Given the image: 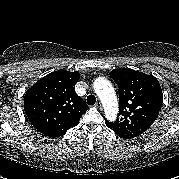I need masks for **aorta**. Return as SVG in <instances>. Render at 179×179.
<instances>
[{
    "instance_id": "aorta-1",
    "label": "aorta",
    "mask_w": 179,
    "mask_h": 179,
    "mask_svg": "<svg viewBox=\"0 0 179 179\" xmlns=\"http://www.w3.org/2000/svg\"><path fill=\"white\" fill-rule=\"evenodd\" d=\"M94 90L103 104L107 119L115 120L118 114V102L111 83L105 78H97L94 81Z\"/></svg>"
}]
</instances>
